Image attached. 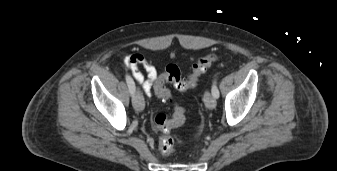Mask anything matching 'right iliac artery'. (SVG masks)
Masks as SVG:
<instances>
[{"mask_svg":"<svg viewBox=\"0 0 337 171\" xmlns=\"http://www.w3.org/2000/svg\"><path fill=\"white\" fill-rule=\"evenodd\" d=\"M126 82H127L130 94L133 95L135 92V83L133 79L131 78V76L126 75Z\"/></svg>","mask_w":337,"mask_h":171,"instance_id":"obj_1","label":"right iliac artery"}]
</instances>
